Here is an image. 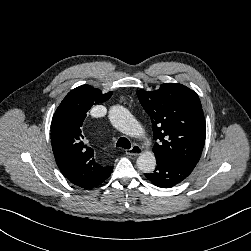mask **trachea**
Masks as SVG:
<instances>
[{"mask_svg":"<svg viewBox=\"0 0 251 251\" xmlns=\"http://www.w3.org/2000/svg\"><path fill=\"white\" fill-rule=\"evenodd\" d=\"M116 146H117V147H122V148H124V149H130V148H131V143H130V141H129L127 138L121 137V138L117 141Z\"/></svg>","mask_w":251,"mask_h":251,"instance_id":"obj_1","label":"trachea"}]
</instances>
